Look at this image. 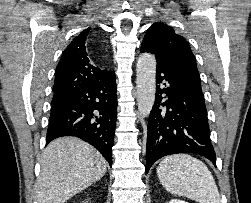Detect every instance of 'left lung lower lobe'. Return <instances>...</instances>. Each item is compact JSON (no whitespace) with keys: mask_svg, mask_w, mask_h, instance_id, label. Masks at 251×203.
<instances>
[{"mask_svg":"<svg viewBox=\"0 0 251 203\" xmlns=\"http://www.w3.org/2000/svg\"><path fill=\"white\" fill-rule=\"evenodd\" d=\"M156 84L148 121L146 173L161 157L178 153L202 155L216 166L201 86L163 61H157Z\"/></svg>","mask_w":251,"mask_h":203,"instance_id":"left-lung-lower-lobe-1","label":"left lung lower lobe"}]
</instances>
